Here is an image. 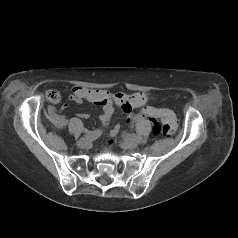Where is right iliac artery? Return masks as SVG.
I'll use <instances>...</instances> for the list:
<instances>
[{"instance_id":"obj_1","label":"right iliac artery","mask_w":238,"mask_h":238,"mask_svg":"<svg viewBox=\"0 0 238 238\" xmlns=\"http://www.w3.org/2000/svg\"><path fill=\"white\" fill-rule=\"evenodd\" d=\"M102 134V131L97 129L95 131L87 132L84 136L87 139H96Z\"/></svg>"}]
</instances>
